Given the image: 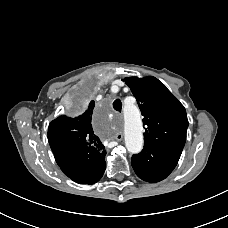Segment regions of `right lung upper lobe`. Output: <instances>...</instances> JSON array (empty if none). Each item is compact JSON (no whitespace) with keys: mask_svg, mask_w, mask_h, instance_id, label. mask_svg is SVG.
<instances>
[{"mask_svg":"<svg viewBox=\"0 0 228 228\" xmlns=\"http://www.w3.org/2000/svg\"><path fill=\"white\" fill-rule=\"evenodd\" d=\"M94 106L92 100L80 115L76 117L61 115L49 124L48 141L53 153L66 152L77 147L105 151L104 145L94 134L92 127Z\"/></svg>","mask_w":228,"mask_h":228,"instance_id":"1","label":"right lung upper lobe"}]
</instances>
